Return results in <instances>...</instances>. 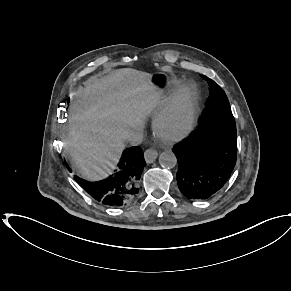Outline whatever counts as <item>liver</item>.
<instances>
[{"mask_svg": "<svg viewBox=\"0 0 291 291\" xmlns=\"http://www.w3.org/2000/svg\"><path fill=\"white\" fill-rule=\"evenodd\" d=\"M159 99L149 73L123 68L90 79L66 126L65 151L72 167L84 179L105 178L119 161L124 135L143 128Z\"/></svg>", "mask_w": 291, "mask_h": 291, "instance_id": "liver-1", "label": "liver"}]
</instances>
